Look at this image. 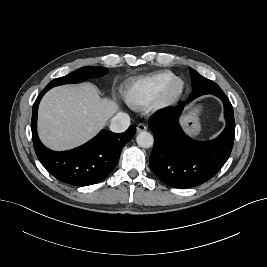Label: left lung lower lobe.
Masks as SVG:
<instances>
[{"mask_svg": "<svg viewBox=\"0 0 267 267\" xmlns=\"http://www.w3.org/2000/svg\"><path fill=\"white\" fill-rule=\"evenodd\" d=\"M203 94L219 97L224 105L226 127L211 141H196L183 132L178 121L182 106L154 114L148 121L154 133L149 165L170 187L186 189L206 182L217 174L230 156L235 133L233 107L223 92L212 88L191 93L188 102Z\"/></svg>", "mask_w": 267, "mask_h": 267, "instance_id": "1", "label": "left lung lower lobe"}]
</instances>
